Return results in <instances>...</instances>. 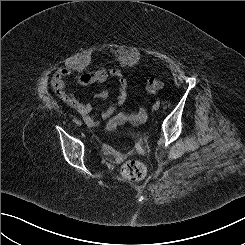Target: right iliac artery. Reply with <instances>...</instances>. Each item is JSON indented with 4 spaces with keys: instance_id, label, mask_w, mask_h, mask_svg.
Listing matches in <instances>:
<instances>
[{
    "instance_id": "1",
    "label": "right iliac artery",
    "mask_w": 245,
    "mask_h": 245,
    "mask_svg": "<svg viewBox=\"0 0 245 245\" xmlns=\"http://www.w3.org/2000/svg\"><path fill=\"white\" fill-rule=\"evenodd\" d=\"M73 121H74L75 123H77L78 120H77V118H74Z\"/></svg>"
}]
</instances>
